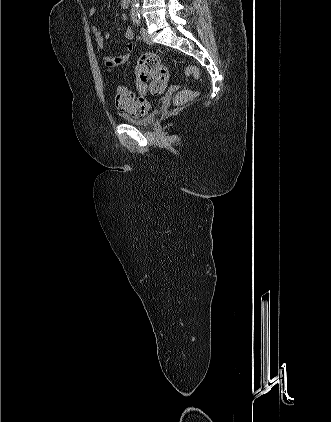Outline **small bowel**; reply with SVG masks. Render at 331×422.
Instances as JSON below:
<instances>
[{
  "label": "small bowel",
  "instance_id": "1",
  "mask_svg": "<svg viewBox=\"0 0 331 422\" xmlns=\"http://www.w3.org/2000/svg\"><path fill=\"white\" fill-rule=\"evenodd\" d=\"M96 11H97L96 7L94 6L91 7L89 10V16L94 17L96 15ZM121 19L126 20L127 15L122 14ZM91 31L94 36L96 45L98 49L100 50L102 62L108 72H111L115 67H119L128 62V60L131 57L132 52L135 49L134 31L132 28L128 27L124 32V37L128 41V44H127L126 51L120 55H111L105 51V45H106L105 42L109 38L108 33H104L102 29L97 25H93L91 27Z\"/></svg>",
  "mask_w": 331,
  "mask_h": 422
}]
</instances>
